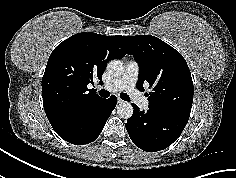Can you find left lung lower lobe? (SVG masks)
Listing matches in <instances>:
<instances>
[{"instance_id": "1", "label": "left lung lower lobe", "mask_w": 236, "mask_h": 178, "mask_svg": "<svg viewBox=\"0 0 236 178\" xmlns=\"http://www.w3.org/2000/svg\"><path fill=\"white\" fill-rule=\"evenodd\" d=\"M134 112L127 120L126 129L133 143L147 152L169 147L181 134L188 119L149 108L140 111L132 104Z\"/></svg>"}]
</instances>
